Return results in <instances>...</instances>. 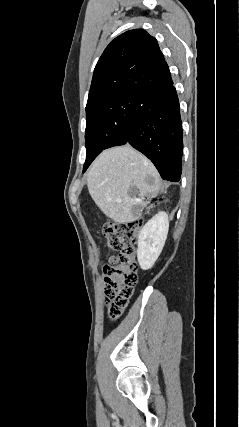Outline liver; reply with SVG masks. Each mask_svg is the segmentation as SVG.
<instances>
[{"instance_id": "6515ba94", "label": "liver", "mask_w": 239, "mask_h": 427, "mask_svg": "<svg viewBox=\"0 0 239 427\" xmlns=\"http://www.w3.org/2000/svg\"><path fill=\"white\" fill-rule=\"evenodd\" d=\"M87 186L100 210L122 224L137 219L146 206L145 197L153 198L162 190L155 166L129 145L103 151L89 169Z\"/></svg>"}]
</instances>
